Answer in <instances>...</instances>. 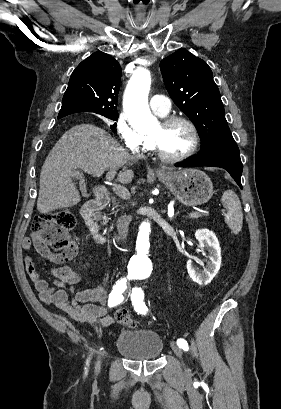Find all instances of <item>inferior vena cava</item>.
Segmentation results:
<instances>
[{
	"label": "inferior vena cava",
	"mask_w": 281,
	"mask_h": 409,
	"mask_svg": "<svg viewBox=\"0 0 281 409\" xmlns=\"http://www.w3.org/2000/svg\"><path fill=\"white\" fill-rule=\"evenodd\" d=\"M131 219L130 217H120L117 221V231L121 239H126L128 235V227Z\"/></svg>",
	"instance_id": "1"
}]
</instances>
